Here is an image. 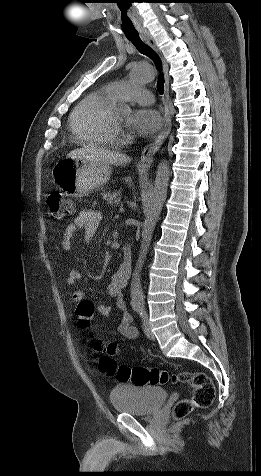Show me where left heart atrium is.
Masks as SVG:
<instances>
[{
  "label": "left heart atrium",
  "mask_w": 261,
  "mask_h": 476,
  "mask_svg": "<svg viewBox=\"0 0 261 476\" xmlns=\"http://www.w3.org/2000/svg\"><path fill=\"white\" fill-rule=\"evenodd\" d=\"M161 123L160 114L151 108L135 110L128 120L129 127L143 136L154 134L160 128Z\"/></svg>",
  "instance_id": "left-heart-atrium-1"
}]
</instances>
